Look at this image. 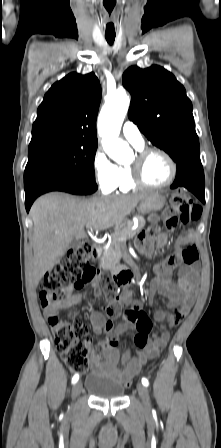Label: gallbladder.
Masks as SVG:
<instances>
[{
	"label": "gallbladder",
	"mask_w": 221,
	"mask_h": 448,
	"mask_svg": "<svg viewBox=\"0 0 221 448\" xmlns=\"http://www.w3.org/2000/svg\"><path fill=\"white\" fill-rule=\"evenodd\" d=\"M75 244H76V242H75V241H72V242L70 243V245H69V248H72V247H74V246H75Z\"/></svg>",
	"instance_id": "gallbladder-1"
}]
</instances>
